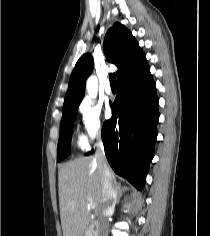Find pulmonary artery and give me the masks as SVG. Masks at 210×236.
<instances>
[{
    "instance_id": "obj_1",
    "label": "pulmonary artery",
    "mask_w": 210,
    "mask_h": 236,
    "mask_svg": "<svg viewBox=\"0 0 210 236\" xmlns=\"http://www.w3.org/2000/svg\"><path fill=\"white\" fill-rule=\"evenodd\" d=\"M105 92L110 95L112 93V89L110 87V84L109 82L107 81L106 84H105Z\"/></svg>"
}]
</instances>
